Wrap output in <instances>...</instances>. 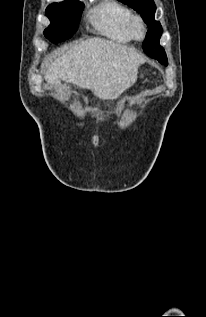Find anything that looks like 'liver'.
<instances>
[{
    "mask_svg": "<svg viewBox=\"0 0 206 317\" xmlns=\"http://www.w3.org/2000/svg\"><path fill=\"white\" fill-rule=\"evenodd\" d=\"M144 61L130 47L92 38L64 49L51 62L44 77L51 85H60L63 80L91 90L100 99H113L135 83Z\"/></svg>",
    "mask_w": 206,
    "mask_h": 317,
    "instance_id": "1",
    "label": "liver"
}]
</instances>
